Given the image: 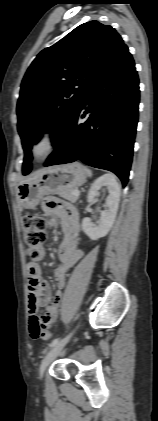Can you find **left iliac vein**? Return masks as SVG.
<instances>
[{
    "instance_id": "4c4485c4",
    "label": "left iliac vein",
    "mask_w": 158,
    "mask_h": 421,
    "mask_svg": "<svg viewBox=\"0 0 158 421\" xmlns=\"http://www.w3.org/2000/svg\"><path fill=\"white\" fill-rule=\"evenodd\" d=\"M71 336H72V332L69 333L67 336H65L63 339H61L54 347H52V349L43 358L40 365L41 377L43 376L44 371L49 366V364L60 354L62 349L65 347V345L69 342Z\"/></svg>"
}]
</instances>
